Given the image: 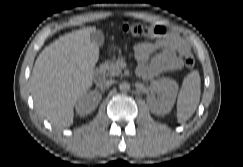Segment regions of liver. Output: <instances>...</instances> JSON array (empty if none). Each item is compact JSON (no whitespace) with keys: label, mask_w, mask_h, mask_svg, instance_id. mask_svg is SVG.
Returning a JSON list of instances; mask_svg holds the SVG:
<instances>
[{"label":"liver","mask_w":243,"mask_h":167,"mask_svg":"<svg viewBox=\"0 0 243 167\" xmlns=\"http://www.w3.org/2000/svg\"><path fill=\"white\" fill-rule=\"evenodd\" d=\"M92 31L85 28L62 36L36 59L31 76L34 104L55 127L73 124L76 101L92 86L99 58Z\"/></svg>","instance_id":"liver-1"}]
</instances>
